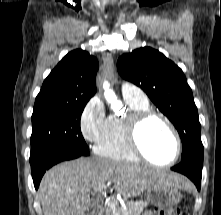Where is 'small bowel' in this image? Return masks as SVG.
Listing matches in <instances>:
<instances>
[{
  "label": "small bowel",
  "mask_w": 221,
  "mask_h": 215,
  "mask_svg": "<svg viewBox=\"0 0 221 215\" xmlns=\"http://www.w3.org/2000/svg\"><path fill=\"white\" fill-rule=\"evenodd\" d=\"M143 215H154L152 212H146Z\"/></svg>",
  "instance_id": "c3829d8e"
}]
</instances>
